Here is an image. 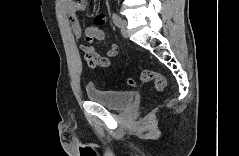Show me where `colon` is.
<instances>
[{"label":"colon","mask_w":239,"mask_h":156,"mask_svg":"<svg viewBox=\"0 0 239 156\" xmlns=\"http://www.w3.org/2000/svg\"><path fill=\"white\" fill-rule=\"evenodd\" d=\"M141 79L144 82H152L157 92L163 90L166 85L165 77L162 74L150 70L142 71ZM126 83L130 87H133L136 84L133 78H129Z\"/></svg>","instance_id":"1"}]
</instances>
